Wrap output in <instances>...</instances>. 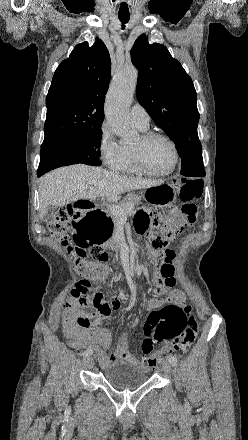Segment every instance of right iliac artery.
<instances>
[{
  "mask_svg": "<svg viewBox=\"0 0 248 440\" xmlns=\"http://www.w3.org/2000/svg\"><path fill=\"white\" fill-rule=\"evenodd\" d=\"M93 351L91 349H87L84 352L80 353L81 356H91Z\"/></svg>",
  "mask_w": 248,
  "mask_h": 440,
  "instance_id": "obj_1",
  "label": "right iliac artery"
}]
</instances>
